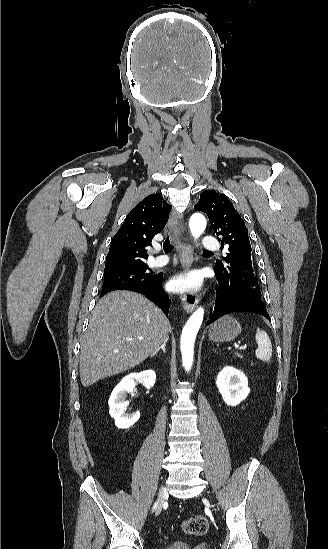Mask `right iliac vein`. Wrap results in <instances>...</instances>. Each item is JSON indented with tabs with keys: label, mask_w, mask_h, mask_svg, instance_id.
Returning <instances> with one entry per match:
<instances>
[{
	"label": "right iliac vein",
	"mask_w": 328,
	"mask_h": 549,
	"mask_svg": "<svg viewBox=\"0 0 328 549\" xmlns=\"http://www.w3.org/2000/svg\"><path fill=\"white\" fill-rule=\"evenodd\" d=\"M167 497V491L165 489V487L162 485L160 490H159V497H158V505H157V508H156V516H158L162 510V507H163V502L165 500V498Z\"/></svg>",
	"instance_id": "1"
}]
</instances>
